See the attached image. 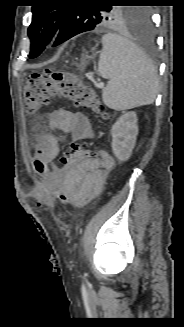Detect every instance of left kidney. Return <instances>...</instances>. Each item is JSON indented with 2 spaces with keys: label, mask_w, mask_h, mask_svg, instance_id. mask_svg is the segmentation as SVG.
<instances>
[{
  "label": "left kidney",
  "mask_w": 184,
  "mask_h": 327,
  "mask_svg": "<svg viewBox=\"0 0 184 327\" xmlns=\"http://www.w3.org/2000/svg\"><path fill=\"white\" fill-rule=\"evenodd\" d=\"M137 134V114L134 111L124 113L112 126V150L120 161H127L131 156Z\"/></svg>",
  "instance_id": "1"
}]
</instances>
